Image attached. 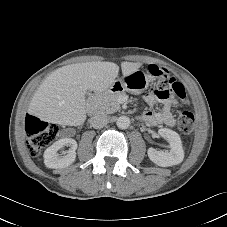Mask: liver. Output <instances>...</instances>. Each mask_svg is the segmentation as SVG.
Returning <instances> with one entry per match:
<instances>
[{"label":"liver","mask_w":227,"mask_h":227,"mask_svg":"<svg viewBox=\"0 0 227 227\" xmlns=\"http://www.w3.org/2000/svg\"><path fill=\"white\" fill-rule=\"evenodd\" d=\"M142 63L122 62L123 76ZM119 66L113 62L76 63L56 69L46 77L32 97L28 112L42 121L80 126L86 120L87 90L105 92L115 81Z\"/></svg>","instance_id":"liver-1"}]
</instances>
